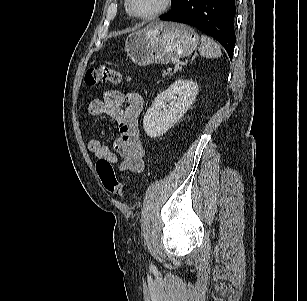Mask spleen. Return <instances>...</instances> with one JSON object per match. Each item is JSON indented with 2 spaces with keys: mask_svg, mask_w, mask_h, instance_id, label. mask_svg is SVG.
<instances>
[{
  "mask_svg": "<svg viewBox=\"0 0 307 301\" xmlns=\"http://www.w3.org/2000/svg\"><path fill=\"white\" fill-rule=\"evenodd\" d=\"M201 56L206 58H218L221 56V50L218 44L208 36H201Z\"/></svg>",
  "mask_w": 307,
  "mask_h": 301,
  "instance_id": "obj_1",
  "label": "spleen"
}]
</instances>
